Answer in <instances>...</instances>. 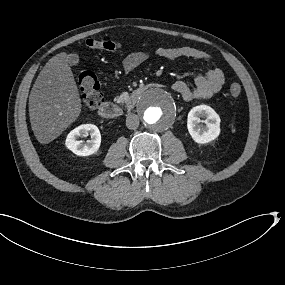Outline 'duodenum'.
<instances>
[{"label": "duodenum", "instance_id": "1", "mask_svg": "<svg viewBox=\"0 0 285 285\" xmlns=\"http://www.w3.org/2000/svg\"><path fill=\"white\" fill-rule=\"evenodd\" d=\"M152 84L143 85L135 89L126 99V102L124 105H120L114 102H105L103 103L99 109L98 114L103 119H116L123 115L125 110L132 109L137 101L140 99L141 95L150 87H152Z\"/></svg>", "mask_w": 285, "mask_h": 285}]
</instances>
